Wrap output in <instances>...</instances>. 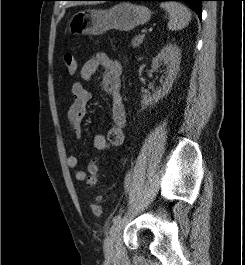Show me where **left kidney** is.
I'll return each mask as SVG.
<instances>
[{
  "mask_svg": "<svg viewBox=\"0 0 245 265\" xmlns=\"http://www.w3.org/2000/svg\"><path fill=\"white\" fill-rule=\"evenodd\" d=\"M181 50L176 44L169 43L162 48L160 53L152 60V69L166 66V78L162 87L152 95H142L141 105L147 107L153 105L168 94L179 71Z\"/></svg>",
  "mask_w": 245,
  "mask_h": 265,
  "instance_id": "obj_1",
  "label": "left kidney"
}]
</instances>
